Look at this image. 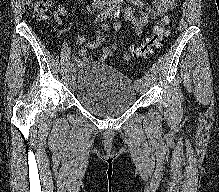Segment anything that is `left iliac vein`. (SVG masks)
Here are the masks:
<instances>
[{
    "mask_svg": "<svg viewBox=\"0 0 219 192\" xmlns=\"http://www.w3.org/2000/svg\"><path fill=\"white\" fill-rule=\"evenodd\" d=\"M149 81L150 76L144 75L143 80H140L136 85L137 92L140 94L144 93L149 85Z\"/></svg>",
    "mask_w": 219,
    "mask_h": 192,
    "instance_id": "4c4485c4",
    "label": "left iliac vein"
}]
</instances>
